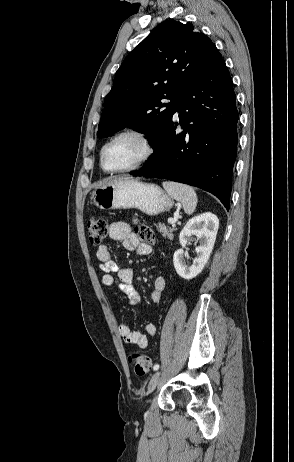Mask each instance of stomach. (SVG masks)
I'll return each instance as SVG.
<instances>
[{
	"mask_svg": "<svg viewBox=\"0 0 294 462\" xmlns=\"http://www.w3.org/2000/svg\"><path fill=\"white\" fill-rule=\"evenodd\" d=\"M92 199L100 209L136 208L151 216L173 206V200L159 186L130 178L114 179L95 189Z\"/></svg>",
	"mask_w": 294,
	"mask_h": 462,
	"instance_id": "obj_1",
	"label": "stomach"
}]
</instances>
